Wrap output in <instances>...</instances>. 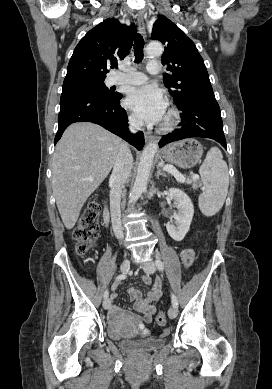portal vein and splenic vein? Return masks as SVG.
Instances as JSON below:
<instances>
[{"label":"portal vein and splenic vein","mask_w":272,"mask_h":389,"mask_svg":"<svg viewBox=\"0 0 272 389\" xmlns=\"http://www.w3.org/2000/svg\"><path fill=\"white\" fill-rule=\"evenodd\" d=\"M163 170L164 171H167V172H169V173H171V174H173L174 175V177L176 178V180L178 181V182H180V183H184L185 181H186V178L181 174V173H179L178 171H177V169L175 168V167H173V166H170V165H165L164 167H163ZM199 179V176L198 175H193L192 176V180H198Z\"/></svg>","instance_id":"obj_1"}]
</instances>
